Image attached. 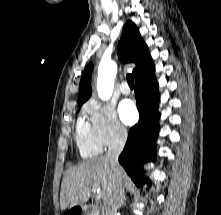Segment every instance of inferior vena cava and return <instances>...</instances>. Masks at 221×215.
I'll list each match as a JSON object with an SVG mask.
<instances>
[{"mask_svg":"<svg viewBox=\"0 0 221 215\" xmlns=\"http://www.w3.org/2000/svg\"><path fill=\"white\" fill-rule=\"evenodd\" d=\"M126 140L127 132L120 129L115 141L109 147L106 154V159L110 163L111 170L113 172L115 185L111 197L104 203L102 215H117V210L121 207L125 198L122 168L119 165L118 157L124 148Z\"/></svg>","mask_w":221,"mask_h":215,"instance_id":"inferior-vena-cava-1","label":"inferior vena cava"}]
</instances>
